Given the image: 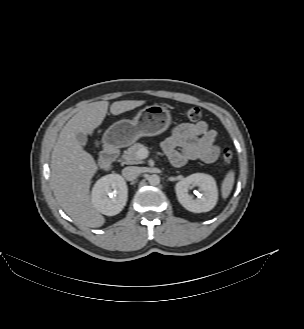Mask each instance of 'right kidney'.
<instances>
[{"mask_svg":"<svg viewBox=\"0 0 304 329\" xmlns=\"http://www.w3.org/2000/svg\"><path fill=\"white\" fill-rule=\"evenodd\" d=\"M127 198L128 188L119 174H109L97 180L91 194L93 206L107 216L120 213L126 205Z\"/></svg>","mask_w":304,"mask_h":329,"instance_id":"1","label":"right kidney"}]
</instances>
